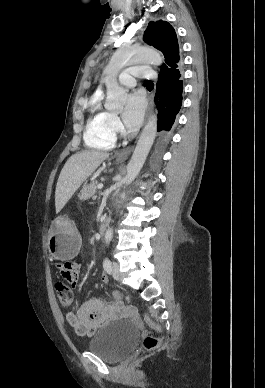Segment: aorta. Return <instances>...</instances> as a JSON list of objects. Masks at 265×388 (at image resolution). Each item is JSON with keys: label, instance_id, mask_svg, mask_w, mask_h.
I'll use <instances>...</instances> for the list:
<instances>
[{"label": "aorta", "instance_id": "obj_1", "mask_svg": "<svg viewBox=\"0 0 265 388\" xmlns=\"http://www.w3.org/2000/svg\"><path fill=\"white\" fill-rule=\"evenodd\" d=\"M164 62L163 56L151 48H136L130 50H118L111 58L105 69L107 98L106 107L108 109H117L123 106L127 94L119 86L117 75L127 65L134 63H150L161 65ZM157 113H154L146 123L144 130L137 142L133 155L127 165V174L124 178L125 185H129L139 174L147 155L154 142L157 132ZM113 238V230L109 228L105 233V242L109 244Z\"/></svg>", "mask_w": 265, "mask_h": 388}]
</instances>
